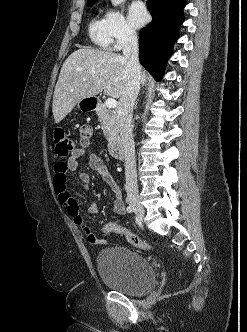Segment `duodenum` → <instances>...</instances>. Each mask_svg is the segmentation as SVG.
<instances>
[{"instance_id":"1","label":"duodenum","mask_w":247,"mask_h":332,"mask_svg":"<svg viewBox=\"0 0 247 332\" xmlns=\"http://www.w3.org/2000/svg\"><path fill=\"white\" fill-rule=\"evenodd\" d=\"M91 105L96 107L98 102L96 100L91 101ZM110 155L116 159H122L124 157V146L119 138H115L109 143Z\"/></svg>"}]
</instances>
